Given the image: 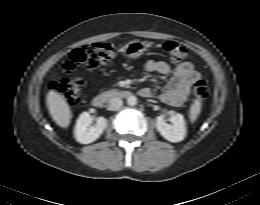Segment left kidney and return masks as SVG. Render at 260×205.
Returning a JSON list of instances; mask_svg holds the SVG:
<instances>
[{
  "label": "left kidney",
  "mask_w": 260,
  "mask_h": 205,
  "mask_svg": "<svg viewBox=\"0 0 260 205\" xmlns=\"http://www.w3.org/2000/svg\"><path fill=\"white\" fill-rule=\"evenodd\" d=\"M172 124H167L164 115L156 118V127L160 134L168 141L176 143L186 136V125L182 114H174L170 117Z\"/></svg>",
  "instance_id": "left-kidney-1"
}]
</instances>
